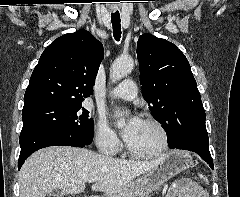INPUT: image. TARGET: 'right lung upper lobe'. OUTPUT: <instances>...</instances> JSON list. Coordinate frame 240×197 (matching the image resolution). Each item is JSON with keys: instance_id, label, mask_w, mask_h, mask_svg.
<instances>
[{"instance_id": "obj_1", "label": "right lung upper lobe", "mask_w": 240, "mask_h": 197, "mask_svg": "<svg viewBox=\"0 0 240 197\" xmlns=\"http://www.w3.org/2000/svg\"><path fill=\"white\" fill-rule=\"evenodd\" d=\"M103 58L102 44L86 30L55 39L31 75L23 110L47 104H82L93 92Z\"/></svg>"}]
</instances>
